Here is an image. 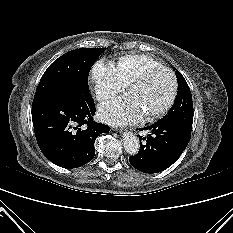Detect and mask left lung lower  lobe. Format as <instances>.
<instances>
[{
  "label": "left lung lower lobe",
  "mask_w": 233,
  "mask_h": 233,
  "mask_svg": "<svg viewBox=\"0 0 233 233\" xmlns=\"http://www.w3.org/2000/svg\"><path fill=\"white\" fill-rule=\"evenodd\" d=\"M140 130H150L151 134L143 137L146 143L140 144L138 154L130 156L129 161L144 173H157L170 167L185 150L191 137V130L165 119ZM139 140H142L141 136Z\"/></svg>",
  "instance_id": "left-lung-lower-lobe-1"
}]
</instances>
